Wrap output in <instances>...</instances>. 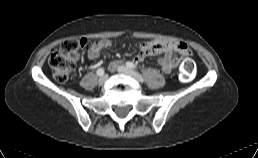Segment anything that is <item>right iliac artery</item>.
<instances>
[{"instance_id":"obj_1","label":"right iliac artery","mask_w":258,"mask_h":158,"mask_svg":"<svg viewBox=\"0 0 258 158\" xmlns=\"http://www.w3.org/2000/svg\"><path fill=\"white\" fill-rule=\"evenodd\" d=\"M103 74H104V69H103V68H99V69L97 70V75L103 76Z\"/></svg>"}]
</instances>
